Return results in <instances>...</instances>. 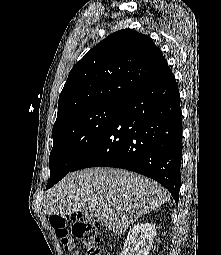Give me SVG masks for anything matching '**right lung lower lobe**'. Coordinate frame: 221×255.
I'll use <instances>...</instances> for the list:
<instances>
[{
    "label": "right lung lower lobe",
    "instance_id": "right-lung-lower-lobe-1",
    "mask_svg": "<svg viewBox=\"0 0 221 255\" xmlns=\"http://www.w3.org/2000/svg\"><path fill=\"white\" fill-rule=\"evenodd\" d=\"M181 139L179 90L167 66L120 103L70 172L97 166L131 170L161 183L178 203Z\"/></svg>",
    "mask_w": 221,
    "mask_h": 255
}]
</instances>
